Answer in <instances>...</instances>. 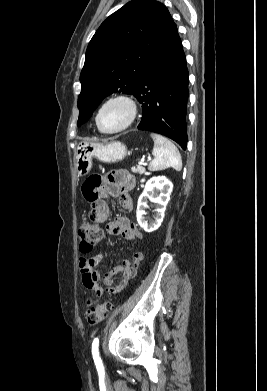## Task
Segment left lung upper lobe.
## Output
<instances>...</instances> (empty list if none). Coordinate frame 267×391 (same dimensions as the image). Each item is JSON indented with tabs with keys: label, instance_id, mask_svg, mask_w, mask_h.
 <instances>
[{
	"label": "left lung upper lobe",
	"instance_id": "left-lung-upper-lobe-1",
	"mask_svg": "<svg viewBox=\"0 0 267 391\" xmlns=\"http://www.w3.org/2000/svg\"><path fill=\"white\" fill-rule=\"evenodd\" d=\"M176 33L168 9L154 0H133L104 20L86 50L77 125L111 93L134 94L151 62Z\"/></svg>",
	"mask_w": 267,
	"mask_h": 391
}]
</instances>
